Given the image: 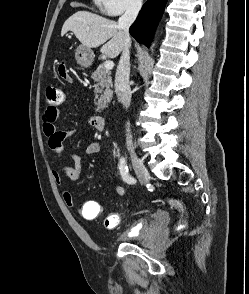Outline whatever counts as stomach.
<instances>
[{"label": "stomach", "instance_id": "obj_1", "mask_svg": "<svg viewBox=\"0 0 249 294\" xmlns=\"http://www.w3.org/2000/svg\"><path fill=\"white\" fill-rule=\"evenodd\" d=\"M75 59L81 67L88 68L93 62L94 52L90 48L80 45L76 49Z\"/></svg>", "mask_w": 249, "mask_h": 294}]
</instances>
